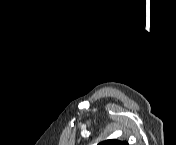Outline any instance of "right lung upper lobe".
<instances>
[{"label": "right lung upper lobe", "instance_id": "cb5924a9", "mask_svg": "<svg viewBox=\"0 0 176 145\" xmlns=\"http://www.w3.org/2000/svg\"><path fill=\"white\" fill-rule=\"evenodd\" d=\"M100 145H127L126 142H120L117 140H106L100 143Z\"/></svg>", "mask_w": 176, "mask_h": 145}]
</instances>
